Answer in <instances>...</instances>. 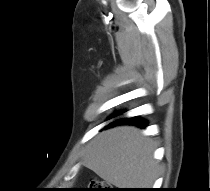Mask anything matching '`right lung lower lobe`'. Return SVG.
Returning a JSON list of instances; mask_svg holds the SVG:
<instances>
[{
  "label": "right lung lower lobe",
  "instance_id": "right-lung-lower-lobe-1",
  "mask_svg": "<svg viewBox=\"0 0 210 191\" xmlns=\"http://www.w3.org/2000/svg\"><path fill=\"white\" fill-rule=\"evenodd\" d=\"M119 115V114H118ZM117 116V114H114V117ZM117 124H134L139 127H146V121L142 118L138 117H132V118H123L116 121H113L108 125V127L117 125Z\"/></svg>",
  "mask_w": 210,
  "mask_h": 191
}]
</instances>
